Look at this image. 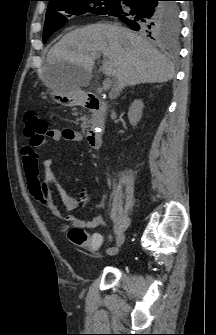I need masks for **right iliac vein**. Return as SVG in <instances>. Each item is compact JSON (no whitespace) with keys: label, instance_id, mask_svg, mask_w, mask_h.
Masks as SVG:
<instances>
[{"label":"right iliac vein","instance_id":"obj_1","mask_svg":"<svg viewBox=\"0 0 216 335\" xmlns=\"http://www.w3.org/2000/svg\"><path fill=\"white\" fill-rule=\"evenodd\" d=\"M125 239H126V236L124 233H121L118 238H117V241H116V250L118 252L119 248L124 244L125 242ZM116 252V253H117Z\"/></svg>","mask_w":216,"mask_h":335}]
</instances>
